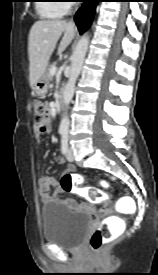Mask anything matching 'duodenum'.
<instances>
[{"label": "duodenum", "instance_id": "duodenum-1", "mask_svg": "<svg viewBox=\"0 0 158 275\" xmlns=\"http://www.w3.org/2000/svg\"><path fill=\"white\" fill-rule=\"evenodd\" d=\"M63 103H64V91L59 96L58 104H57L58 109H60L63 106Z\"/></svg>", "mask_w": 158, "mask_h": 275}]
</instances>
